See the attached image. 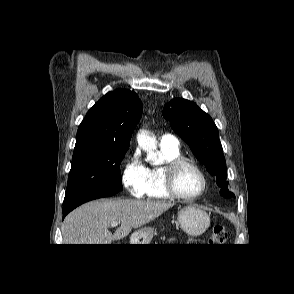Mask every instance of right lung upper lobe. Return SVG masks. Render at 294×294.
<instances>
[{"instance_id":"cb5924a9","label":"right lung upper lobe","mask_w":294,"mask_h":294,"mask_svg":"<svg viewBox=\"0 0 294 294\" xmlns=\"http://www.w3.org/2000/svg\"><path fill=\"white\" fill-rule=\"evenodd\" d=\"M142 113L138 95L129 90L108 92L88 111L77 131L75 147L129 148L131 134Z\"/></svg>"}]
</instances>
